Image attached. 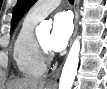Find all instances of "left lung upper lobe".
Masks as SVG:
<instances>
[{
  "mask_svg": "<svg viewBox=\"0 0 107 89\" xmlns=\"http://www.w3.org/2000/svg\"><path fill=\"white\" fill-rule=\"evenodd\" d=\"M36 2V0H18L13 10V17L11 21V32L25 14V12Z\"/></svg>",
  "mask_w": 107,
  "mask_h": 89,
  "instance_id": "5c2ea615",
  "label": "left lung upper lobe"
}]
</instances>
